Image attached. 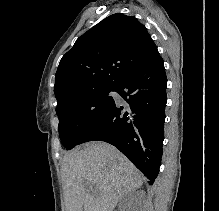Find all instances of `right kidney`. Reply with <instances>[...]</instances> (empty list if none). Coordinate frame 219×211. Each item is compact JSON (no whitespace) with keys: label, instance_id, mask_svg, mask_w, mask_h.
<instances>
[{"label":"right kidney","instance_id":"ca27d5eb","mask_svg":"<svg viewBox=\"0 0 219 211\" xmlns=\"http://www.w3.org/2000/svg\"><path fill=\"white\" fill-rule=\"evenodd\" d=\"M136 193H139V191H136ZM129 199H131V197H129ZM131 203H133V205H135V207H136L137 203H139L138 197H135V199H131V201H125L123 207H125L126 211H128V209H127L128 205H130V207L132 209ZM131 209H129V211H131ZM135 211H137V209H135Z\"/></svg>","mask_w":219,"mask_h":211}]
</instances>
